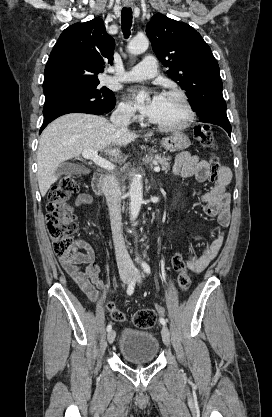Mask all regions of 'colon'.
<instances>
[{
    "mask_svg": "<svg viewBox=\"0 0 272 417\" xmlns=\"http://www.w3.org/2000/svg\"><path fill=\"white\" fill-rule=\"evenodd\" d=\"M194 137L197 141L206 146L214 147L213 132L209 125H197L194 128ZM212 179H214L221 164L216 155L210 158ZM80 187L76 176L66 175L62 177L48 192L46 225L48 233L53 240L55 253L64 258L67 262L73 263L77 259L75 252L74 235L78 230L75 215L69 208L67 201L75 194ZM174 269L178 272L177 282L182 291H186L191 286V277L187 271L185 262L180 254H175L172 258ZM161 313L164 312L161 306ZM111 317L116 321H122L124 314L117 310L113 303H108ZM156 313L151 309H140L132 316V323L140 329H149L156 323Z\"/></svg>",
    "mask_w": 272,
    "mask_h": 417,
    "instance_id": "obj_1",
    "label": "colon"
}]
</instances>
